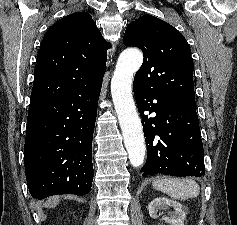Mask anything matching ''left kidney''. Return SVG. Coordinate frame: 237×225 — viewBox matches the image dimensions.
I'll return each mask as SVG.
<instances>
[{
    "label": "left kidney",
    "mask_w": 237,
    "mask_h": 225,
    "mask_svg": "<svg viewBox=\"0 0 237 225\" xmlns=\"http://www.w3.org/2000/svg\"><path fill=\"white\" fill-rule=\"evenodd\" d=\"M169 208H173V211H168V215L164 216L162 220L168 225H184L186 214L179 202L169 200L165 197H158L153 199L148 206L149 214L152 218L158 217L159 210L166 211Z\"/></svg>",
    "instance_id": "5707ae66"
}]
</instances>
